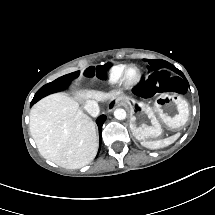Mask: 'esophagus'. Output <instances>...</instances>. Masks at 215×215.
Here are the masks:
<instances>
[{
	"label": "esophagus",
	"instance_id": "obj_1",
	"mask_svg": "<svg viewBox=\"0 0 215 215\" xmlns=\"http://www.w3.org/2000/svg\"><path fill=\"white\" fill-rule=\"evenodd\" d=\"M117 107V99H112L108 104V111L112 112Z\"/></svg>",
	"mask_w": 215,
	"mask_h": 215
}]
</instances>
